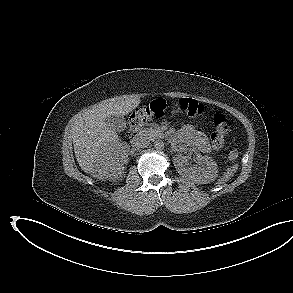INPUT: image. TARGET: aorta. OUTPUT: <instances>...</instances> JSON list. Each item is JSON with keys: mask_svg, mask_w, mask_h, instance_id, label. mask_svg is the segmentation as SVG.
<instances>
[{"mask_svg": "<svg viewBox=\"0 0 293 293\" xmlns=\"http://www.w3.org/2000/svg\"><path fill=\"white\" fill-rule=\"evenodd\" d=\"M164 146H165V144L162 140H156L154 142V147L156 150H162V149H164Z\"/></svg>", "mask_w": 293, "mask_h": 293, "instance_id": "1", "label": "aorta"}]
</instances>
